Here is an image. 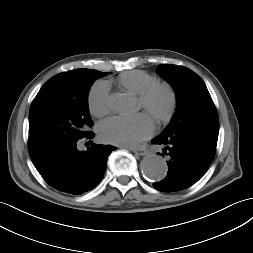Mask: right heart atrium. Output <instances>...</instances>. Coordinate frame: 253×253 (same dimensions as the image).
I'll use <instances>...</instances> for the list:
<instances>
[{"label": "right heart atrium", "instance_id": "d8ad5b80", "mask_svg": "<svg viewBox=\"0 0 253 253\" xmlns=\"http://www.w3.org/2000/svg\"><path fill=\"white\" fill-rule=\"evenodd\" d=\"M88 108L94 116H103L109 110V85L105 81H97L88 93Z\"/></svg>", "mask_w": 253, "mask_h": 253}]
</instances>
